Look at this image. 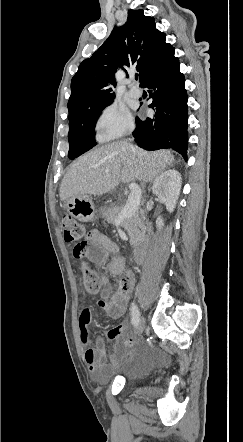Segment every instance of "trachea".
Wrapping results in <instances>:
<instances>
[{"label": "trachea", "mask_w": 243, "mask_h": 442, "mask_svg": "<svg viewBox=\"0 0 243 442\" xmlns=\"http://www.w3.org/2000/svg\"><path fill=\"white\" fill-rule=\"evenodd\" d=\"M135 79L138 80V76L137 75H136Z\"/></svg>", "instance_id": "trachea-1"}]
</instances>
